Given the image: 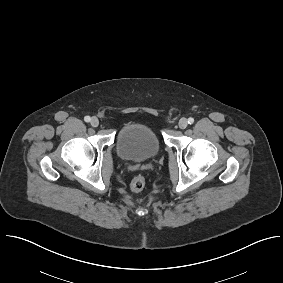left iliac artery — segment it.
<instances>
[{
    "instance_id": "44dca946",
    "label": "left iliac artery",
    "mask_w": 283,
    "mask_h": 283,
    "mask_svg": "<svg viewBox=\"0 0 283 283\" xmlns=\"http://www.w3.org/2000/svg\"><path fill=\"white\" fill-rule=\"evenodd\" d=\"M194 123V118L190 117L188 118V124H193Z\"/></svg>"
}]
</instances>
